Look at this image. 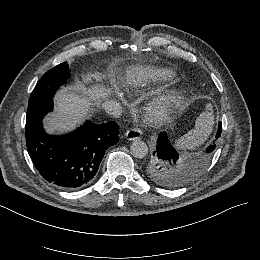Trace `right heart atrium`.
<instances>
[{
	"label": "right heart atrium",
	"instance_id": "d8ad5b80",
	"mask_svg": "<svg viewBox=\"0 0 260 260\" xmlns=\"http://www.w3.org/2000/svg\"><path fill=\"white\" fill-rule=\"evenodd\" d=\"M114 94L115 91L113 87L106 79L100 81L93 91L94 100L98 103L106 102Z\"/></svg>",
	"mask_w": 260,
	"mask_h": 260
}]
</instances>
